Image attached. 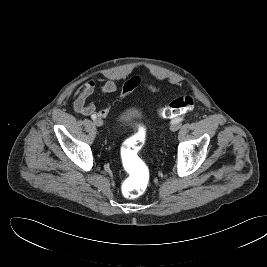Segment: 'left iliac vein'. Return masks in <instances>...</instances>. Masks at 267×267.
<instances>
[{
  "instance_id": "left-iliac-vein-1",
  "label": "left iliac vein",
  "mask_w": 267,
  "mask_h": 267,
  "mask_svg": "<svg viewBox=\"0 0 267 267\" xmlns=\"http://www.w3.org/2000/svg\"><path fill=\"white\" fill-rule=\"evenodd\" d=\"M180 127H181V123H180V122H178V123H171L170 130H171L172 132H175V131H177Z\"/></svg>"
}]
</instances>
